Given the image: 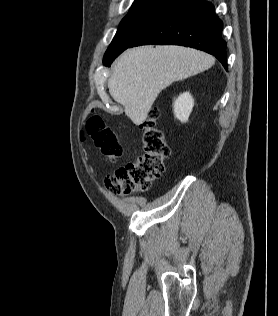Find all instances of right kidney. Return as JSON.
Returning <instances> with one entry per match:
<instances>
[{
    "instance_id": "1",
    "label": "right kidney",
    "mask_w": 278,
    "mask_h": 316,
    "mask_svg": "<svg viewBox=\"0 0 278 316\" xmlns=\"http://www.w3.org/2000/svg\"><path fill=\"white\" fill-rule=\"evenodd\" d=\"M193 106L194 100L189 92L179 95L173 106L175 117L182 123L187 122Z\"/></svg>"
}]
</instances>
